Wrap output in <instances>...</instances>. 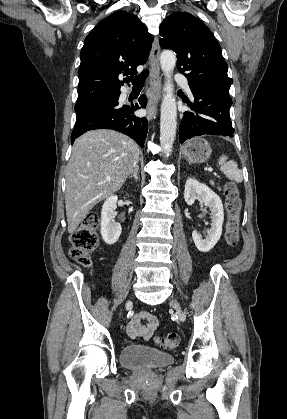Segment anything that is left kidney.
<instances>
[{"mask_svg": "<svg viewBox=\"0 0 287 419\" xmlns=\"http://www.w3.org/2000/svg\"><path fill=\"white\" fill-rule=\"evenodd\" d=\"M197 198H200L211 211V228L204 239L196 231L192 232V238L199 251L208 252L216 245L222 234V224L224 221L223 204L220 197L208 186L198 182L194 178H189L185 184V202L188 205H192Z\"/></svg>", "mask_w": 287, "mask_h": 419, "instance_id": "obj_1", "label": "left kidney"}]
</instances>
